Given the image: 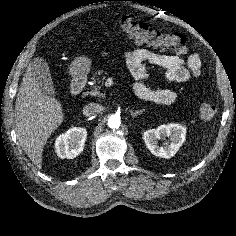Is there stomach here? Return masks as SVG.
Here are the masks:
<instances>
[{
    "mask_svg": "<svg viewBox=\"0 0 236 236\" xmlns=\"http://www.w3.org/2000/svg\"><path fill=\"white\" fill-rule=\"evenodd\" d=\"M91 62L88 58L82 56L76 58L70 65V74L74 78H82L90 71Z\"/></svg>",
    "mask_w": 236,
    "mask_h": 236,
    "instance_id": "obj_1",
    "label": "stomach"
}]
</instances>
